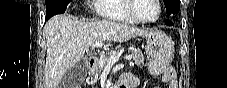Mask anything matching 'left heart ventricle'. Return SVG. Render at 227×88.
<instances>
[{
    "label": "left heart ventricle",
    "instance_id": "left-heart-ventricle-1",
    "mask_svg": "<svg viewBox=\"0 0 227 88\" xmlns=\"http://www.w3.org/2000/svg\"><path fill=\"white\" fill-rule=\"evenodd\" d=\"M134 12L140 19L152 20L157 16L158 8L154 0H135Z\"/></svg>",
    "mask_w": 227,
    "mask_h": 88
}]
</instances>
